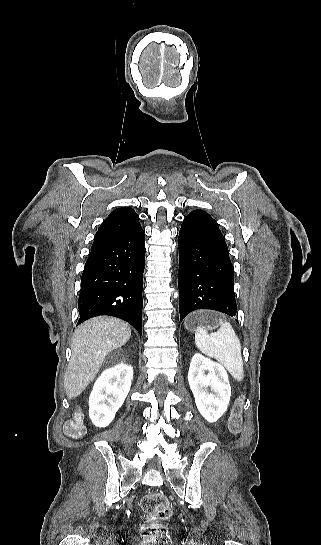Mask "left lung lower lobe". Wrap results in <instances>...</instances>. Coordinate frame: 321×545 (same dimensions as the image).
I'll return each instance as SVG.
<instances>
[{
	"label": "left lung lower lobe",
	"instance_id": "obj_1",
	"mask_svg": "<svg viewBox=\"0 0 321 545\" xmlns=\"http://www.w3.org/2000/svg\"><path fill=\"white\" fill-rule=\"evenodd\" d=\"M179 311L182 321L197 309L235 316L234 270L225 239L205 211L193 210L179 231Z\"/></svg>",
	"mask_w": 321,
	"mask_h": 545
}]
</instances>
